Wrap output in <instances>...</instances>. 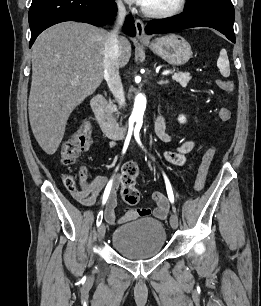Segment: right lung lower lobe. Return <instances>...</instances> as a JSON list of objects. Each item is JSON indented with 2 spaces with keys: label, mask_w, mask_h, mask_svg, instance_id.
<instances>
[{
  "label": "right lung lower lobe",
  "mask_w": 261,
  "mask_h": 306,
  "mask_svg": "<svg viewBox=\"0 0 261 306\" xmlns=\"http://www.w3.org/2000/svg\"><path fill=\"white\" fill-rule=\"evenodd\" d=\"M115 0H33L29 10L31 29L30 47L37 36L48 27L64 22L77 21L104 26L116 15ZM124 31L136 35L133 18L128 15Z\"/></svg>",
  "instance_id": "1"
}]
</instances>
